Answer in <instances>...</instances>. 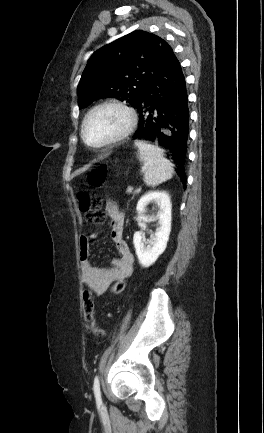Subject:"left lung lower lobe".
I'll return each instance as SVG.
<instances>
[{"label": "left lung lower lobe", "mask_w": 264, "mask_h": 433, "mask_svg": "<svg viewBox=\"0 0 264 433\" xmlns=\"http://www.w3.org/2000/svg\"><path fill=\"white\" fill-rule=\"evenodd\" d=\"M135 107L140 120L133 138L150 140L167 149L185 185L188 95L182 68L173 51L163 68L143 90Z\"/></svg>", "instance_id": "left-lung-lower-lobe-1"}]
</instances>
